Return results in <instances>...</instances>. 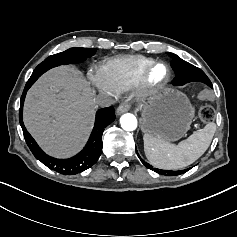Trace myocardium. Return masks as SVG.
Returning a JSON list of instances; mask_svg holds the SVG:
<instances>
[{
  "label": "myocardium",
  "instance_id": "1",
  "mask_svg": "<svg viewBox=\"0 0 237 237\" xmlns=\"http://www.w3.org/2000/svg\"><path fill=\"white\" fill-rule=\"evenodd\" d=\"M162 65L166 69L165 77L158 81L154 82L150 78L152 70L158 66ZM171 70L169 65L164 61H152L142 72L138 83L136 84L138 95L141 98H147L163 89L170 80Z\"/></svg>",
  "mask_w": 237,
  "mask_h": 237
}]
</instances>
